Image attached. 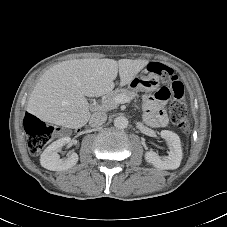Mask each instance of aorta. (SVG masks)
Masks as SVG:
<instances>
[{
  "label": "aorta",
  "mask_w": 227,
  "mask_h": 227,
  "mask_svg": "<svg viewBox=\"0 0 227 227\" xmlns=\"http://www.w3.org/2000/svg\"><path fill=\"white\" fill-rule=\"evenodd\" d=\"M128 123V119L124 116H118L114 119V126L118 129L127 128Z\"/></svg>",
  "instance_id": "762f6f07"
}]
</instances>
